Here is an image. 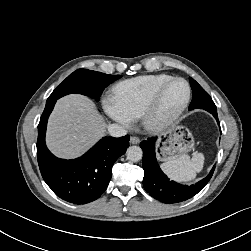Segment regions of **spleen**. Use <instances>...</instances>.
<instances>
[{
	"label": "spleen",
	"mask_w": 251,
	"mask_h": 251,
	"mask_svg": "<svg viewBox=\"0 0 251 251\" xmlns=\"http://www.w3.org/2000/svg\"><path fill=\"white\" fill-rule=\"evenodd\" d=\"M204 165V155L196 153L192 158L181 155L161 164L162 170L173 180L179 182L191 181L201 172Z\"/></svg>",
	"instance_id": "spleen-1"
}]
</instances>
